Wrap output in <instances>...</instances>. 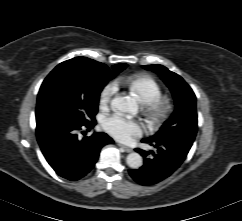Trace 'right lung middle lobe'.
<instances>
[{
	"instance_id": "obj_1",
	"label": "right lung middle lobe",
	"mask_w": 242,
	"mask_h": 221,
	"mask_svg": "<svg viewBox=\"0 0 242 221\" xmlns=\"http://www.w3.org/2000/svg\"><path fill=\"white\" fill-rule=\"evenodd\" d=\"M127 65L111 71L105 64H59L44 80L38 93L36 121L62 119L73 123L94 120L103 87Z\"/></svg>"
}]
</instances>
